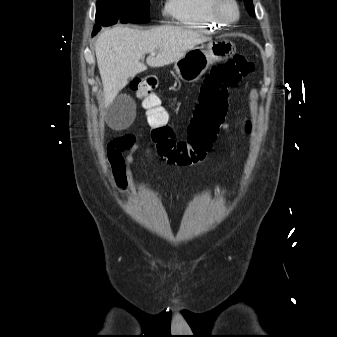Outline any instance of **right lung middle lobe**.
<instances>
[{
  "mask_svg": "<svg viewBox=\"0 0 337 337\" xmlns=\"http://www.w3.org/2000/svg\"><path fill=\"white\" fill-rule=\"evenodd\" d=\"M149 0H97L94 28L122 23L149 22Z\"/></svg>",
  "mask_w": 337,
  "mask_h": 337,
  "instance_id": "right-lung-middle-lobe-1",
  "label": "right lung middle lobe"
}]
</instances>
